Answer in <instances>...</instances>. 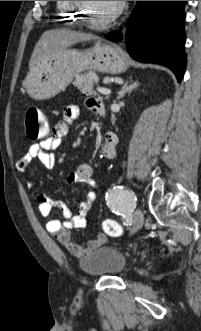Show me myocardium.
<instances>
[{
	"instance_id": "obj_1",
	"label": "myocardium",
	"mask_w": 201,
	"mask_h": 331,
	"mask_svg": "<svg viewBox=\"0 0 201 331\" xmlns=\"http://www.w3.org/2000/svg\"><path fill=\"white\" fill-rule=\"evenodd\" d=\"M75 6L80 10V12L78 13V16H81L82 18V23H84L85 25L88 26H92V27H97V28H101V27H106L109 24H111L112 22H114L123 12L124 10V1H119L118 3V7L116 8V10L110 14L108 17H106L103 21H100L98 23H93L91 21H89L86 18V7H87V2L86 1H73Z\"/></svg>"
}]
</instances>
